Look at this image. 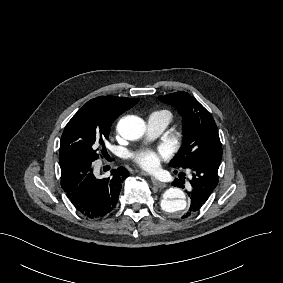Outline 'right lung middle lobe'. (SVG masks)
<instances>
[{
	"label": "right lung middle lobe",
	"instance_id": "right-lung-middle-lobe-1",
	"mask_svg": "<svg viewBox=\"0 0 283 283\" xmlns=\"http://www.w3.org/2000/svg\"><path fill=\"white\" fill-rule=\"evenodd\" d=\"M137 102L125 103L119 114L130 109ZM119 114L112 115L106 109L87 102L64 129L60 141L59 161L75 157L86 158L90 161L98 159L97 152L100 147L104 149V141L108 139L111 125Z\"/></svg>",
	"mask_w": 283,
	"mask_h": 283
}]
</instances>
